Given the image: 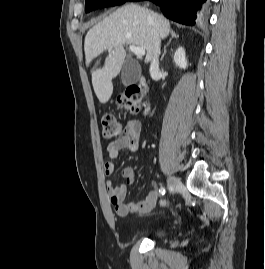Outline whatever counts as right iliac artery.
<instances>
[{
	"instance_id": "obj_1",
	"label": "right iliac artery",
	"mask_w": 265,
	"mask_h": 269,
	"mask_svg": "<svg viewBox=\"0 0 265 269\" xmlns=\"http://www.w3.org/2000/svg\"><path fill=\"white\" fill-rule=\"evenodd\" d=\"M159 192H160V194L164 195L165 194V188L164 187H161L159 189Z\"/></svg>"
}]
</instances>
